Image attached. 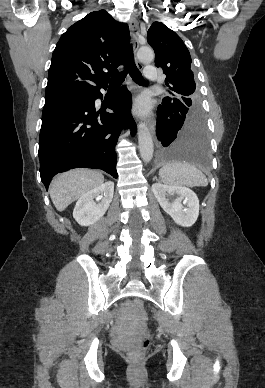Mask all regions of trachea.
Segmentation results:
<instances>
[{"mask_svg": "<svg viewBox=\"0 0 265 388\" xmlns=\"http://www.w3.org/2000/svg\"><path fill=\"white\" fill-rule=\"evenodd\" d=\"M128 73L131 75V77L136 83H140V84L146 83L141 75V72L138 70V68L135 65L132 46H130V49L128 51L125 69L122 72L115 75L114 77L110 78L109 85L110 86L121 85Z\"/></svg>", "mask_w": 265, "mask_h": 388, "instance_id": "trachea-1", "label": "trachea"}]
</instances>
